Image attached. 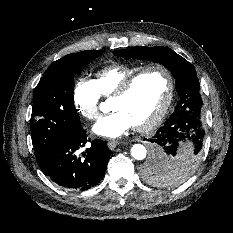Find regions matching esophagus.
Segmentation results:
<instances>
[{"instance_id":"1","label":"esophagus","mask_w":233,"mask_h":233,"mask_svg":"<svg viewBox=\"0 0 233 233\" xmlns=\"http://www.w3.org/2000/svg\"><path fill=\"white\" fill-rule=\"evenodd\" d=\"M119 144V141L117 140H109L108 141V147L111 150H114V148Z\"/></svg>"}]
</instances>
